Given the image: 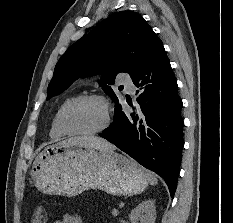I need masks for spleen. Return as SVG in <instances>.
Here are the masks:
<instances>
[{
	"label": "spleen",
	"mask_w": 233,
	"mask_h": 223,
	"mask_svg": "<svg viewBox=\"0 0 233 223\" xmlns=\"http://www.w3.org/2000/svg\"><path fill=\"white\" fill-rule=\"evenodd\" d=\"M147 177H148L149 183H151V185H156V183H158V179H157L156 175H154V173H147Z\"/></svg>",
	"instance_id": "3e777b00"
}]
</instances>
